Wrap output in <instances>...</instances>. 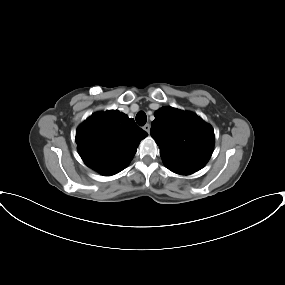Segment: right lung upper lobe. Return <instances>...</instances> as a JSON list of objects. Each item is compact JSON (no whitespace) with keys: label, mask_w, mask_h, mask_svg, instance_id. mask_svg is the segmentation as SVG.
<instances>
[{"label":"right lung upper lobe","mask_w":285,"mask_h":285,"mask_svg":"<svg viewBox=\"0 0 285 285\" xmlns=\"http://www.w3.org/2000/svg\"><path fill=\"white\" fill-rule=\"evenodd\" d=\"M147 135L126 114L109 110L87 118L76 131V143L88 167L111 176L128 165Z\"/></svg>","instance_id":"cb5924a9"}]
</instances>
